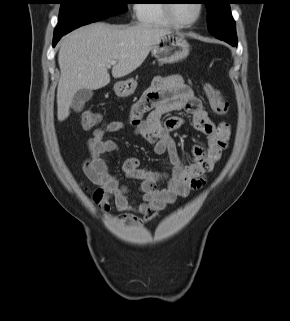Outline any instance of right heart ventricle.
Segmentation results:
<instances>
[{
    "mask_svg": "<svg viewBox=\"0 0 290 321\" xmlns=\"http://www.w3.org/2000/svg\"><path fill=\"white\" fill-rule=\"evenodd\" d=\"M166 0H140L134 7L136 21L149 26H172L165 11Z\"/></svg>",
    "mask_w": 290,
    "mask_h": 321,
    "instance_id": "e07e8e85",
    "label": "right heart ventricle"
}]
</instances>
